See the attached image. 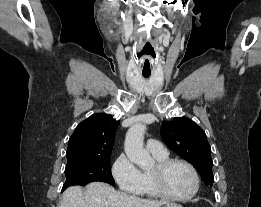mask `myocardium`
I'll list each match as a JSON object with an SVG mask.
<instances>
[{
	"label": "myocardium",
	"instance_id": "obj_1",
	"mask_svg": "<svg viewBox=\"0 0 261 207\" xmlns=\"http://www.w3.org/2000/svg\"><path fill=\"white\" fill-rule=\"evenodd\" d=\"M174 164H181L184 165L186 168H188V170L190 171L192 178H193V189L192 191L185 196H174L172 194H170L164 187L163 185V176L164 173L166 172V170L171 167ZM150 178L153 184V187L156 191V193L166 199V200H170V201H176V202H186L191 200L192 198H194L200 188V179L198 176V173L195 169V167L188 161L183 160V159H178V158H168L166 160H163L161 162H157L154 170H152L150 172Z\"/></svg>",
	"mask_w": 261,
	"mask_h": 207
}]
</instances>
